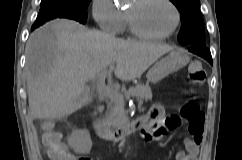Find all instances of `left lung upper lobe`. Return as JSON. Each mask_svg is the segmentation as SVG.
I'll use <instances>...</instances> for the list:
<instances>
[{
  "label": "left lung upper lobe",
  "mask_w": 242,
  "mask_h": 160,
  "mask_svg": "<svg viewBox=\"0 0 242 160\" xmlns=\"http://www.w3.org/2000/svg\"><path fill=\"white\" fill-rule=\"evenodd\" d=\"M180 11L181 29L178 36L183 46L205 44L204 22L200 12V0H170Z\"/></svg>",
  "instance_id": "obj_1"
}]
</instances>
